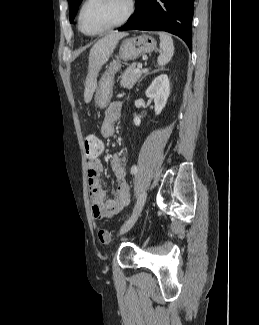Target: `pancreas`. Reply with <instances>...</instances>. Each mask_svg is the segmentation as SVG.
Returning <instances> with one entry per match:
<instances>
[{
  "instance_id": "pancreas-1",
  "label": "pancreas",
  "mask_w": 259,
  "mask_h": 325,
  "mask_svg": "<svg viewBox=\"0 0 259 325\" xmlns=\"http://www.w3.org/2000/svg\"><path fill=\"white\" fill-rule=\"evenodd\" d=\"M142 73H135V67L129 66L122 75L120 85L123 88L131 89L135 83L140 79Z\"/></svg>"
}]
</instances>
